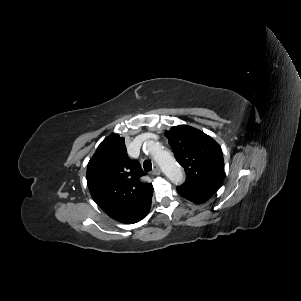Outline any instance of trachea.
I'll return each mask as SVG.
<instances>
[{"label": "trachea", "mask_w": 301, "mask_h": 301, "mask_svg": "<svg viewBox=\"0 0 301 301\" xmlns=\"http://www.w3.org/2000/svg\"><path fill=\"white\" fill-rule=\"evenodd\" d=\"M143 168L146 172H149L152 170V164L149 160H145L143 163Z\"/></svg>", "instance_id": "obj_1"}]
</instances>
